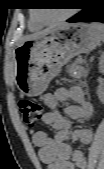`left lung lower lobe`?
<instances>
[{
	"mask_svg": "<svg viewBox=\"0 0 104 169\" xmlns=\"http://www.w3.org/2000/svg\"><path fill=\"white\" fill-rule=\"evenodd\" d=\"M83 10L67 22H104V5L101 0H84Z\"/></svg>",
	"mask_w": 104,
	"mask_h": 169,
	"instance_id": "0a47b994",
	"label": "left lung lower lobe"
}]
</instances>
